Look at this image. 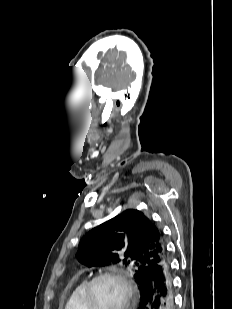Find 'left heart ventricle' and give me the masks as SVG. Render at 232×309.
Listing matches in <instances>:
<instances>
[{"mask_svg": "<svg viewBox=\"0 0 232 309\" xmlns=\"http://www.w3.org/2000/svg\"><path fill=\"white\" fill-rule=\"evenodd\" d=\"M123 298V287L114 279H101L94 285L92 299L95 309H119Z\"/></svg>", "mask_w": 232, "mask_h": 309, "instance_id": "obj_1", "label": "left heart ventricle"}]
</instances>
